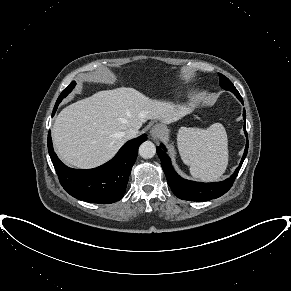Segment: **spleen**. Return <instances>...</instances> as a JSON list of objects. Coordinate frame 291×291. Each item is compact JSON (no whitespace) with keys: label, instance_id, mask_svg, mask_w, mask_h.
<instances>
[{"label":"spleen","instance_id":"1","mask_svg":"<svg viewBox=\"0 0 291 291\" xmlns=\"http://www.w3.org/2000/svg\"><path fill=\"white\" fill-rule=\"evenodd\" d=\"M180 156L194 178L217 180L228 165V138L222 124L207 129L182 127L177 136Z\"/></svg>","mask_w":291,"mask_h":291}]
</instances>
